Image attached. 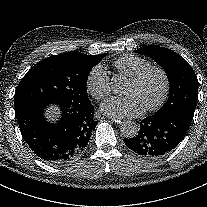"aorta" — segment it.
<instances>
[{
    "label": "aorta",
    "instance_id": "obj_1",
    "mask_svg": "<svg viewBox=\"0 0 207 207\" xmlns=\"http://www.w3.org/2000/svg\"><path fill=\"white\" fill-rule=\"evenodd\" d=\"M125 87V79L116 75L112 78L111 88L116 93H121ZM140 130L138 124L134 121H124L120 126V131L125 138H133L135 137Z\"/></svg>",
    "mask_w": 207,
    "mask_h": 207
}]
</instances>
